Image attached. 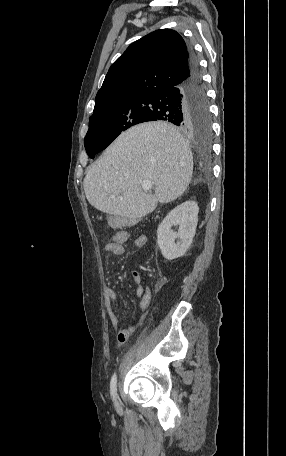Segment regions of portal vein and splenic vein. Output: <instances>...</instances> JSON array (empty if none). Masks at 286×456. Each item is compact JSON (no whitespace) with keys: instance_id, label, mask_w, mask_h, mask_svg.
<instances>
[{"instance_id":"portal-vein-and-splenic-vein-1","label":"portal vein and splenic vein","mask_w":286,"mask_h":456,"mask_svg":"<svg viewBox=\"0 0 286 456\" xmlns=\"http://www.w3.org/2000/svg\"><path fill=\"white\" fill-rule=\"evenodd\" d=\"M154 185V182H152L151 180H145L142 182V188L143 190H150Z\"/></svg>"}]
</instances>
